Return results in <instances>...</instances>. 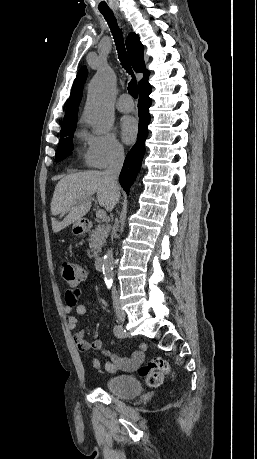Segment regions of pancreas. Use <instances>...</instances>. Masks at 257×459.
<instances>
[{
  "instance_id": "pancreas-1",
  "label": "pancreas",
  "mask_w": 257,
  "mask_h": 459,
  "mask_svg": "<svg viewBox=\"0 0 257 459\" xmlns=\"http://www.w3.org/2000/svg\"><path fill=\"white\" fill-rule=\"evenodd\" d=\"M111 226L109 224H99L90 234L89 247L93 252V256L97 257L101 251L106 238L109 235Z\"/></svg>"
}]
</instances>
